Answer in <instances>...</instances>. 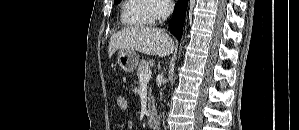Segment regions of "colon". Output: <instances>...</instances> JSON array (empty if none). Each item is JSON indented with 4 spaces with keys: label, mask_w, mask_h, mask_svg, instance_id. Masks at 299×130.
<instances>
[{
    "label": "colon",
    "mask_w": 299,
    "mask_h": 130,
    "mask_svg": "<svg viewBox=\"0 0 299 130\" xmlns=\"http://www.w3.org/2000/svg\"><path fill=\"white\" fill-rule=\"evenodd\" d=\"M117 105L119 107V109L121 110H126L128 107V100L125 96L120 95L117 98Z\"/></svg>",
    "instance_id": "5ec220e1"
}]
</instances>
